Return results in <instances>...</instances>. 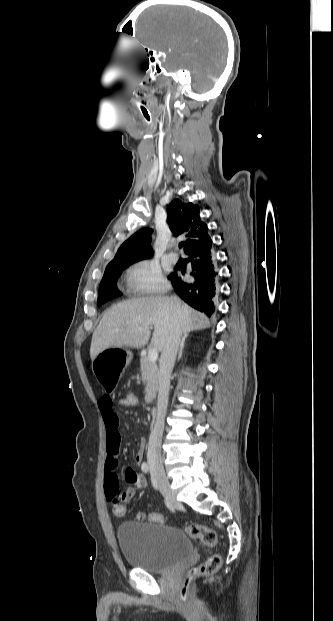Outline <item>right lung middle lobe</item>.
I'll use <instances>...</instances> for the list:
<instances>
[{
  "label": "right lung middle lobe",
  "instance_id": "obj_1",
  "mask_svg": "<svg viewBox=\"0 0 333 621\" xmlns=\"http://www.w3.org/2000/svg\"><path fill=\"white\" fill-rule=\"evenodd\" d=\"M131 264L133 263L120 264L106 268L98 292V305L122 295L116 286L117 279L121 275L122 271Z\"/></svg>",
  "mask_w": 333,
  "mask_h": 621
}]
</instances>
